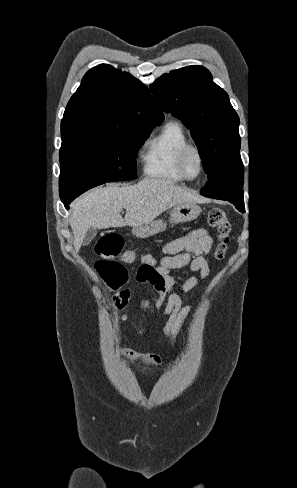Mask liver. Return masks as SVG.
Instances as JSON below:
<instances>
[{
	"mask_svg": "<svg viewBox=\"0 0 297 488\" xmlns=\"http://www.w3.org/2000/svg\"><path fill=\"white\" fill-rule=\"evenodd\" d=\"M202 201L201 197L174 183L145 178L133 186L109 184L97 187L72 205L70 226L74 247L79 251L90 228L140 226L178 204ZM126 210L122 218V209Z\"/></svg>",
	"mask_w": 297,
	"mask_h": 488,
	"instance_id": "liver-1",
	"label": "liver"
}]
</instances>
